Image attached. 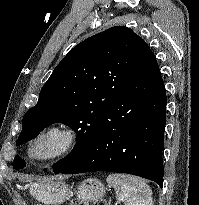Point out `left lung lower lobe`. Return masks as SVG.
<instances>
[{"instance_id": "0a47b994", "label": "left lung lower lobe", "mask_w": 199, "mask_h": 205, "mask_svg": "<svg viewBox=\"0 0 199 205\" xmlns=\"http://www.w3.org/2000/svg\"><path fill=\"white\" fill-rule=\"evenodd\" d=\"M165 124V86L156 58L144 43L127 85L105 113L92 143L60 173H128L162 187Z\"/></svg>"}]
</instances>
